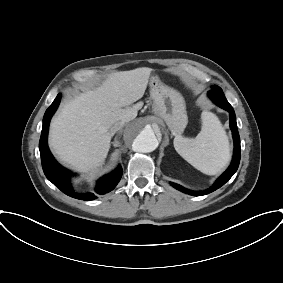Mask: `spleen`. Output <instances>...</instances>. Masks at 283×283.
Segmentation results:
<instances>
[{
  "label": "spleen",
  "instance_id": "3e777b00",
  "mask_svg": "<svg viewBox=\"0 0 283 283\" xmlns=\"http://www.w3.org/2000/svg\"><path fill=\"white\" fill-rule=\"evenodd\" d=\"M201 131L195 138L177 135V153L194 168L207 175L219 173L230 160L229 141L218 117L212 112L201 114Z\"/></svg>",
  "mask_w": 283,
  "mask_h": 283
}]
</instances>
